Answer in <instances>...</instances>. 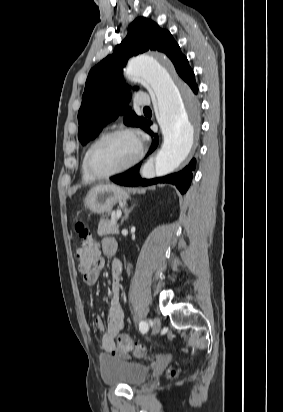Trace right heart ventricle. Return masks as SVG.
Here are the masks:
<instances>
[{"mask_svg": "<svg viewBox=\"0 0 283 412\" xmlns=\"http://www.w3.org/2000/svg\"><path fill=\"white\" fill-rule=\"evenodd\" d=\"M93 142H94V141H93ZM93 142H92V143H93ZM92 143H91V144H92ZM91 144H90V145H91ZM90 145H89V147H90ZM89 147L86 149V151H85V153H84V155H83L82 163H81L82 178H83L84 181H87V182H91V181L94 180V178H93V177L89 174V172L87 171V168H86V165H85V157H86V153H87Z\"/></svg>", "mask_w": 283, "mask_h": 412, "instance_id": "right-heart-ventricle-1", "label": "right heart ventricle"}]
</instances>
